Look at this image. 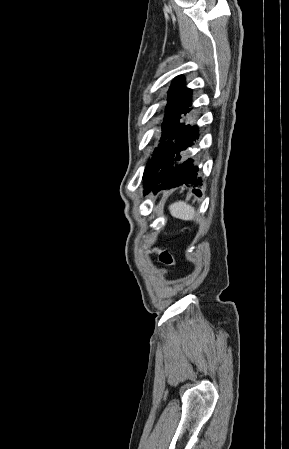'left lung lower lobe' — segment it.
I'll return each mask as SVG.
<instances>
[{"mask_svg":"<svg viewBox=\"0 0 289 449\" xmlns=\"http://www.w3.org/2000/svg\"><path fill=\"white\" fill-rule=\"evenodd\" d=\"M198 138L197 126L185 125L166 145L164 160L157 175L144 181L145 193L151 190L154 193L162 190L178 187L180 185L199 186L202 180L198 176L199 168L193 159L185 160L184 151L193 145ZM200 196L199 190H193Z\"/></svg>","mask_w":289,"mask_h":449,"instance_id":"obj_1","label":"left lung lower lobe"}]
</instances>
